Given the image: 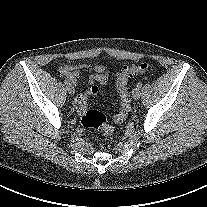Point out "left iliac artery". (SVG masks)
<instances>
[{"label":"left iliac artery","instance_id":"44dca946","mask_svg":"<svg viewBox=\"0 0 207 207\" xmlns=\"http://www.w3.org/2000/svg\"><path fill=\"white\" fill-rule=\"evenodd\" d=\"M136 87H137V88H141V87H142V83H140V82L137 83Z\"/></svg>","mask_w":207,"mask_h":207}]
</instances>
